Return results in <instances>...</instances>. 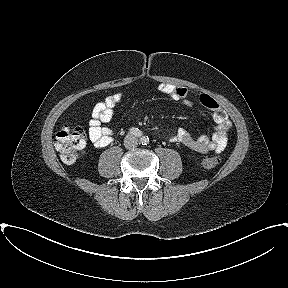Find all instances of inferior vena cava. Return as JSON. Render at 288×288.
Returning <instances> with one entry per match:
<instances>
[{
	"mask_svg": "<svg viewBox=\"0 0 288 288\" xmlns=\"http://www.w3.org/2000/svg\"><path fill=\"white\" fill-rule=\"evenodd\" d=\"M124 145L127 149L135 148L138 145V139L133 135H128L124 139Z\"/></svg>",
	"mask_w": 288,
	"mask_h": 288,
	"instance_id": "1",
	"label": "inferior vena cava"
}]
</instances>
